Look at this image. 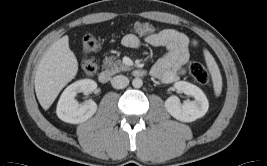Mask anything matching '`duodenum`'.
Returning <instances> with one entry per match:
<instances>
[{"mask_svg":"<svg viewBox=\"0 0 267 166\" xmlns=\"http://www.w3.org/2000/svg\"><path fill=\"white\" fill-rule=\"evenodd\" d=\"M146 70L144 69H135L132 71V75L134 77L140 78L146 75ZM111 79V74L108 70H101L98 74V80L102 84H107L109 83Z\"/></svg>","mask_w":267,"mask_h":166,"instance_id":"1","label":"duodenum"}]
</instances>
